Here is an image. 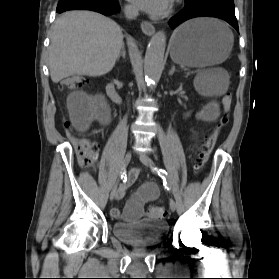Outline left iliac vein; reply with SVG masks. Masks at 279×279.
I'll return each instance as SVG.
<instances>
[{
  "mask_svg": "<svg viewBox=\"0 0 279 279\" xmlns=\"http://www.w3.org/2000/svg\"><path fill=\"white\" fill-rule=\"evenodd\" d=\"M139 160L147 167L150 168H154V163L153 161L145 154H140L139 155ZM169 207L171 209V211H175L176 210V203L174 201V199H170L169 202Z\"/></svg>",
  "mask_w": 279,
  "mask_h": 279,
  "instance_id": "4c4485c4",
  "label": "left iliac vein"
}]
</instances>
